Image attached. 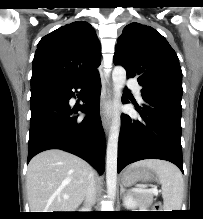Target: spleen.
I'll return each mask as SVG.
<instances>
[{"label": "spleen", "mask_w": 203, "mask_h": 219, "mask_svg": "<svg viewBox=\"0 0 203 219\" xmlns=\"http://www.w3.org/2000/svg\"><path fill=\"white\" fill-rule=\"evenodd\" d=\"M133 167H147L155 171L162 185L165 211L180 210L183 200L184 183L180 170L170 162L146 159L133 163Z\"/></svg>", "instance_id": "3e777b00"}]
</instances>
